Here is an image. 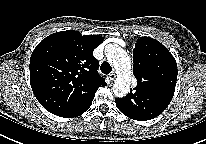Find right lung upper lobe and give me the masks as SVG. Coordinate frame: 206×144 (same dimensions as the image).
<instances>
[{
    "label": "right lung upper lobe",
    "instance_id": "obj_1",
    "mask_svg": "<svg viewBox=\"0 0 206 144\" xmlns=\"http://www.w3.org/2000/svg\"><path fill=\"white\" fill-rule=\"evenodd\" d=\"M103 39L71 30L51 34L37 45L30 58V83L46 110L67 117L107 85L93 56Z\"/></svg>",
    "mask_w": 206,
    "mask_h": 144
}]
</instances>
